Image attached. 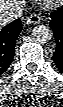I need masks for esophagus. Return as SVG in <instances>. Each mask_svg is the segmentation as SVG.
<instances>
[{
    "mask_svg": "<svg viewBox=\"0 0 63 107\" xmlns=\"http://www.w3.org/2000/svg\"><path fill=\"white\" fill-rule=\"evenodd\" d=\"M41 17L36 14L32 13L28 18H27V24L29 25H36L40 22Z\"/></svg>",
    "mask_w": 63,
    "mask_h": 107,
    "instance_id": "1",
    "label": "esophagus"
}]
</instances>
